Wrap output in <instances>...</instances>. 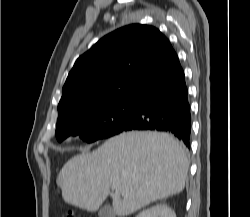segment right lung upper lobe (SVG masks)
I'll return each instance as SVG.
<instances>
[{
    "instance_id": "right-lung-upper-lobe-1",
    "label": "right lung upper lobe",
    "mask_w": 250,
    "mask_h": 217,
    "mask_svg": "<svg viewBox=\"0 0 250 217\" xmlns=\"http://www.w3.org/2000/svg\"><path fill=\"white\" fill-rule=\"evenodd\" d=\"M178 64L170 42L155 27H122L76 60L62 89L57 123L100 104L133 99Z\"/></svg>"
}]
</instances>
